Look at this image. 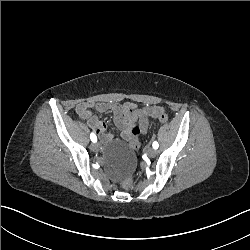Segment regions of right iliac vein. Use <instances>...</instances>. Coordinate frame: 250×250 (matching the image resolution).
I'll return each mask as SVG.
<instances>
[{
	"mask_svg": "<svg viewBox=\"0 0 250 250\" xmlns=\"http://www.w3.org/2000/svg\"><path fill=\"white\" fill-rule=\"evenodd\" d=\"M90 149L94 152H97L99 150V145L94 142L91 144Z\"/></svg>",
	"mask_w": 250,
	"mask_h": 250,
	"instance_id": "right-iliac-vein-1",
	"label": "right iliac vein"
}]
</instances>
